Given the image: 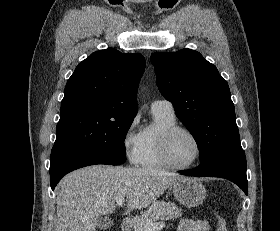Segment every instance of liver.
Segmentation results:
<instances>
[{
  "label": "liver",
  "mask_w": 280,
  "mask_h": 231,
  "mask_svg": "<svg viewBox=\"0 0 280 231\" xmlns=\"http://www.w3.org/2000/svg\"><path fill=\"white\" fill-rule=\"evenodd\" d=\"M181 175L121 165H88L61 179L55 231H95L100 215L114 213L122 197L129 209H143Z\"/></svg>",
  "instance_id": "1"
}]
</instances>
